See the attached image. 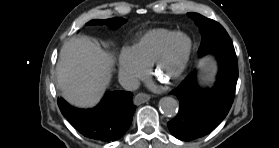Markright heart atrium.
I'll use <instances>...</instances> for the list:
<instances>
[{
	"label": "right heart atrium",
	"mask_w": 279,
	"mask_h": 148,
	"mask_svg": "<svg viewBox=\"0 0 279 148\" xmlns=\"http://www.w3.org/2000/svg\"><path fill=\"white\" fill-rule=\"evenodd\" d=\"M119 73L122 80L132 86L147 76L148 67L137 58L132 48H124L119 56Z\"/></svg>",
	"instance_id": "obj_1"
}]
</instances>
